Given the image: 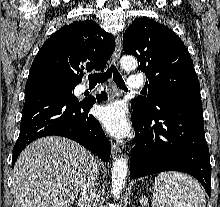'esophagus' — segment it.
Masks as SVG:
<instances>
[{"instance_id":"obj_1","label":"esophagus","mask_w":220,"mask_h":207,"mask_svg":"<svg viewBox=\"0 0 220 207\" xmlns=\"http://www.w3.org/2000/svg\"><path fill=\"white\" fill-rule=\"evenodd\" d=\"M121 50H122L121 38L119 36H117L115 50H114V53L112 55V60H113V62L115 64L119 63V58H120V55H121ZM111 153H112V157L113 158L116 157L117 154L120 153V149H119V147L115 143L111 144Z\"/></svg>"}]
</instances>
